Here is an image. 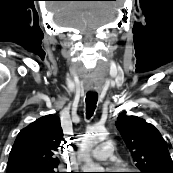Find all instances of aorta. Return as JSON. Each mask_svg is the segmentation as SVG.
<instances>
[{
    "label": "aorta",
    "mask_w": 173,
    "mask_h": 173,
    "mask_svg": "<svg viewBox=\"0 0 173 173\" xmlns=\"http://www.w3.org/2000/svg\"><path fill=\"white\" fill-rule=\"evenodd\" d=\"M107 133L104 128H92L88 134H86L84 143L86 146L91 147L96 145L99 141L103 140L106 137ZM85 169L87 172H102V167L95 164L89 156H84Z\"/></svg>",
    "instance_id": "aorta-1"
}]
</instances>
